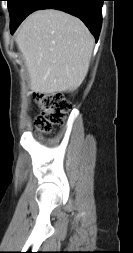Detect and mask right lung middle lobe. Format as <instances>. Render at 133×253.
Wrapping results in <instances>:
<instances>
[{
    "label": "right lung middle lobe",
    "mask_w": 133,
    "mask_h": 253,
    "mask_svg": "<svg viewBox=\"0 0 133 253\" xmlns=\"http://www.w3.org/2000/svg\"><path fill=\"white\" fill-rule=\"evenodd\" d=\"M10 13V28L18 21L20 8L25 0H7Z\"/></svg>",
    "instance_id": "dd1d6c3e"
}]
</instances>
